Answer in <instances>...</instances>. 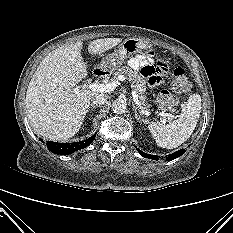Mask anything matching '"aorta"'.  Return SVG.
<instances>
[{"mask_svg": "<svg viewBox=\"0 0 233 233\" xmlns=\"http://www.w3.org/2000/svg\"><path fill=\"white\" fill-rule=\"evenodd\" d=\"M127 109V103L123 99H116L112 104V110L116 114H122Z\"/></svg>", "mask_w": 233, "mask_h": 233, "instance_id": "obj_1", "label": "aorta"}]
</instances>
